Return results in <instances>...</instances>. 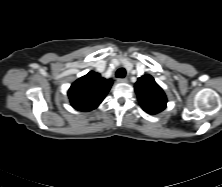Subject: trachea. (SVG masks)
Segmentation results:
<instances>
[{"label":"trachea","instance_id":"trachea-1","mask_svg":"<svg viewBox=\"0 0 222 187\" xmlns=\"http://www.w3.org/2000/svg\"><path fill=\"white\" fill-rule=\"evenodd\" d=\"M126 75V70L124 68H120L116 72V77L117 78H124Z\"/></svg>","mask_w":222,"mask_h":187}]
</instances>
